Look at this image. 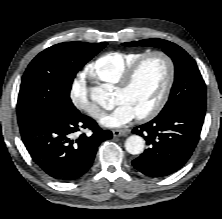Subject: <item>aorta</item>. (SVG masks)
<instances>
[{
    "mask_svg": "<svg viewBox=\"0 0 222 219\" xmlns=\"http://www.w3.org/2000/svg\"><path fill=\"white\" fill-rule=\"evenodd\" d=\"M109 91L103 87L98 86L91 89L90 98L92 101L98 103L101 106H105L109 100ZM145 147V141L138 135H131L125 141V149L128 153L137 155L143 152Z\"/></svg>",
    "mask_w": 222,
    "mask_h": 219,
    "instance_id": "obj_1",
    "label": "aorta"
}]
</instances>
